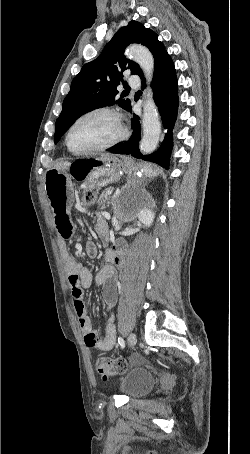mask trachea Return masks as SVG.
Masks as SVG:
<instances>
[{"label":"trachea","mask_w":250,"mask_h":454,"mask_svg":"<svg viewBox=\"0 0 250 454\" xmlns=\"http://www.w3.org/2000/svg\"><path fill=\"white\" fill-rule=\"evenodd\" d=\"M124 88H125V90H127V89H129L130 87H129V86H125Z\"/></svg>","instance_id":"3493384b"}]
</instances>
